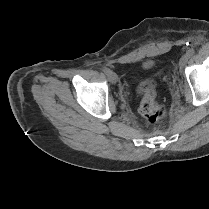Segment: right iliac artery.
<instances>
[{
	"label": "right iliac artery",
	"instance_id": "obj_1",
	"mask_svg": "<svg viewBox=\"0 0 209 209\" xmlns=\"http://www.w3.org/2000/svg\"><path fill=\"white\" fill-rule=\"evenodd\" d=\"M103 72L108 75L111 72V70L108 68H103Z\"/></svg>",
	"mask_w": 209,
	"mask_h": 209
}]
</instances>
